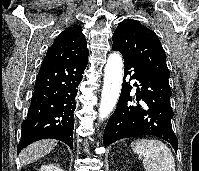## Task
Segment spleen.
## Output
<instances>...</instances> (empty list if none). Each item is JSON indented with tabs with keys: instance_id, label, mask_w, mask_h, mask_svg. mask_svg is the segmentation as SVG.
<instances>
[{
	"instance_id": "spleen-1",
	"label": "spleen",
	"mask_w": 199,
	"mask_h": 171,
	"mask_svg": "<svg viewBox=\"0 0 199 171\" xmlns=\"http://www.w3.org/2000/svg\"><path fill=\"white\" fill-rule=\"evenodd\" d=\"M133 151L143 156L146 171H175V161L171 150L160 140L146 138L131 143Z\"/></svg>"
}]
</instances>
